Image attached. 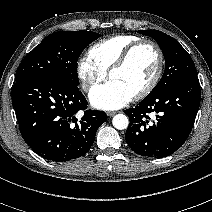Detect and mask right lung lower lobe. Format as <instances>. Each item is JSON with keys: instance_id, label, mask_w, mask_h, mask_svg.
<instances>
[{"instance_id": "right-lung-lower-lobe-1", "label": "right lung lower lobe", "mask_w": 212, "mask_h": 212, "mask_svg": "<svg viewBox=\"0 0 212 212\" xmlns=\"http://www.w3.org/2000/svg\"><path fill=\"white\" fill-rule=\"evenodd\" d=\"M12 95L23 139L50 161L66 162L83 156L107 120L104 111L86 110L87 100L77 87L52 76L17 80ZM80 110L84 115L78 119Z\"/></svg>"}]
</instances>
